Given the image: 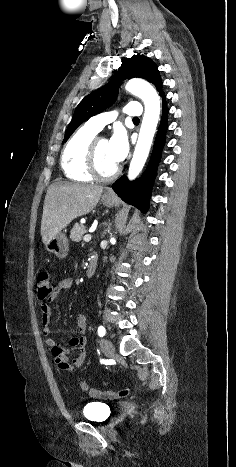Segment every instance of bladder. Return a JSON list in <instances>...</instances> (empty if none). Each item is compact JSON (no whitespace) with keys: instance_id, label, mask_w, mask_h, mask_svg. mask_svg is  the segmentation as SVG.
Wrapping results in <instances>:
<instances>
[{"instance_id":"obj_1","label":"bladder","mask_w":236,"mask_h":467,"mask_svg":"<svg viewBox=\"0 0 236 467\" xmlns=\"http://www.w3.org/2000/svg\"><path fill=\"white\" fill-rule=\"evenodd\" d=\"M110 412L111 408L109 404L93 401L84 406L82 416L91 422H102L109 416Z\"/></svg>"}]
</instances>
